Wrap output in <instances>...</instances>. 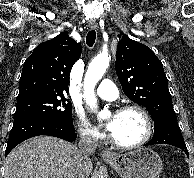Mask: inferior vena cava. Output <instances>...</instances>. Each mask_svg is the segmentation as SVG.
Returning a JSON list of instances; mask_svg holds the SVG:
<instances>
[{
	"label": "inferior vena cava",
	"mask_w": 194,
	"mask_h": 178,
	"mask_svg": "<svg viewBox=\"0 0 194 178\" xmlns=\"http://www.w3.org/2000/svg\"><path fill=\"white\" fill-rule=\"evenodd\" d=\"M97 145L90 135L81 134L79 141L80 163L73 175V178H85L84 163L89 160L90 154L96 151Z\"/></svg>",
	"instance_id": "obj_1"
}]
</instances>
